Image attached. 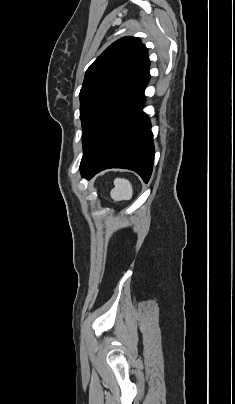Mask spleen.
<instances>
[{
  "label": "spleen",
  "mask_w": 235,
  "mask_h": 404,
  "mask_svg": "<svg viewBox=\"0 0 235 404\" xmlns=\"http://www.w3.org/2000/svg\"><path fill=\"white\" fill-rule=\"evenodd\" d=\"M114 189L111 190V198L114 201L130 200L133 196L131 183L126 179L116 178Z\"/></svg>",
  "instance_id": "1"
}]
</instances>
